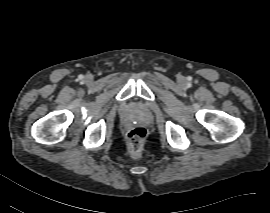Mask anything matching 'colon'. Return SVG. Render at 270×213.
Returning a JSON list of instances; mask_svg holds the SVG:
<instances>
[{
	"mask_svg": "<svg viewBox=\"0 0 270 213\" xmlns=\"http://www.w3.org/2000/svg\"><path fill=\"white\" fill-rule=\"evenodd\" d=\"M147 139V131L143 127H136L127 135L128 151L132 158H137L142 153Z\"/></svg>",
	"mask_w": 270,
	"mask_h": 213,
	"instance_id": "1",
	"label": "colon"
}]
</instances>
